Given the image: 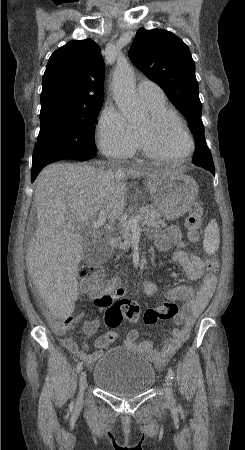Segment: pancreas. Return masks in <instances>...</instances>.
Listing matches in <instances>:
<instances>
[{"label":"pancreas","instance_id":"1","mask_svg":"<svg viewBox=\"0 0 245 450\" xmlns=\"http://www.w3.org/2000/svg\"><path fill=\"white\" fill-rule=\"evenodd\" d=\"M138 216H141L142 219H144L143 225L150 227V228H160L165 227V222L160 218V214L157 210L151 209L149 206H142L139 208V210L135 213V215L131 218H136ZM122 242L119 243V249L126 250L130 247L131 244V229L127 226H123L120 230Z\"/></svg>","mask_w":245,"mask_h":450}]
</instances>
